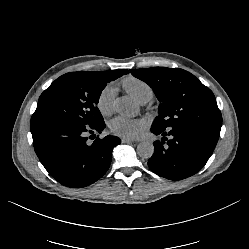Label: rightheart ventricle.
Returning <instances> with one entry per match:
<instances>
[{
	"mask_svg": "<svg viewBox=\"0 0 249 249\" xmlns=\"http://www.w3.org/2000/svg\"><path fill=\"white\" fill-rule=\"evenodd\" d=\"M121 86L142 104L152 99L154 94L152 87L146 81L133 75L125 76L121 80Z\"/></svg>",
	"mask_w": 249,
	"mask_h": 249,
	"instance_id": "1",
	"label": "right heart ventricle"
}]
</instances>
